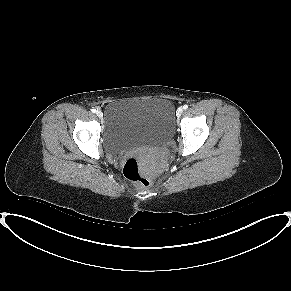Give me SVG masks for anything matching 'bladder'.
Masks as SVG:
<instances>
[{"label":"bladder","instance_id":"31cf9c89","mask_svg":"<svg viewBox=\"0 0 291 291\" xmlns=\"http://www.w3.org/2000/svg\"><path fill=\"white\" fill-rule=\"evenodd\" d=\"M103 124L108 152L160 145L174 134V106L161 97L114 101L105 107Z\"/></svg>","mask_w":291,"mask_h":291}]
</instances>
